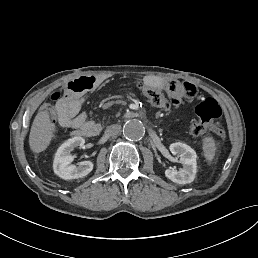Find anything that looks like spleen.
I'll return each instance as SVG.
<instances>
[{"label": "spleen", "instance_id": "3e777b00", "mask_svg": "<svg viewBox=\"0 0 258 258\" xmlns=\"http://www.w3.org/2000/svg\"><path fill=\"white\" fill-rule=\"evenodd\" d=\"M204 142V153H205V157L207 159H212L214 157L215 154V144L214 141L210 138H205L203 140Z\"/></svg>", "mask_w": 258, "mask_h": 258}]
</instances>
